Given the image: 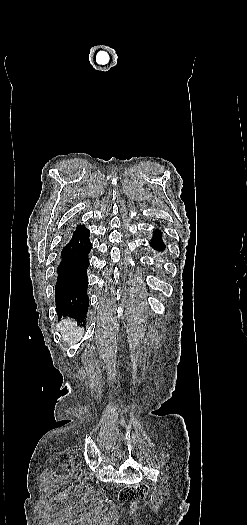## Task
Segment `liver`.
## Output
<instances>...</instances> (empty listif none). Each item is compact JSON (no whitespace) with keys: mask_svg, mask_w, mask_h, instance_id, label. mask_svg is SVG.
<instances>
[{"mask_svg":"<svg viewBox=\"0 0 247 525\" xmlns=\"http://www.w3.org/2000/svg\"><path fill=\"white\" fill-rule=\"evenodd\" d=\"M57 331L62 333V341L69 343V345H73L75 341H79V337H82L84 333V329L77 327V323H74L71 319H62L57 325ZM74 337H77V339H74Z\"/></svg>","mask_w":247,"mask_h":525,"instance_id":"obj_1","label":"liver"}]
</instances>
